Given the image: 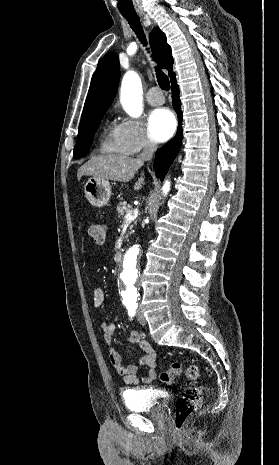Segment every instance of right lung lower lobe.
I'll return each mask as SVG.
<instances>
[{"instance_id":"98d812e1","label":"right lung lower lobe","mask_w":279,"mask_h":465,"mask_svg":"<svg viewBox=\"0 0 279 465\" xmlns=\"http://www.w3.org/2000/svg\"><path fill=\"white\" fill-rule=\"evenodd\" d=\"M172 89V104L178 115V131L173 139L167 142L163 147L159 148L156 153V160L154 162V171L157 177L164 179L169 166L179 152L182 143V118L181 101L179 99V86L174 80L171 82Z\"/></svg>"}]
</instances>
